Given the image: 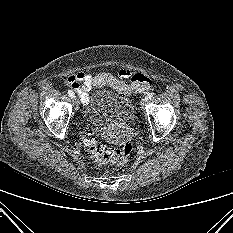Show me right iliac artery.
I'll return each instance as SVG.
<instances>
[{
	"label": "right iliac artery",
	"instance_id": "obj_1",
	"mask_svg": "<svg viewBox=\"0 0 233 233\" xmlns=\"http://www.w3.org/2000/svg\"><path fill=\"white\" fill-rule=\"evenodd\" d=\"M68 94H69V96H70L71 98L74 97V92H73L72 90H68Z\"/></svg>",
	"mask_w": 233,
	"mask_h": 233
}]
</instances>
